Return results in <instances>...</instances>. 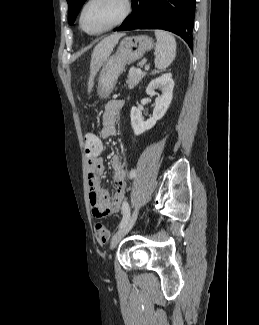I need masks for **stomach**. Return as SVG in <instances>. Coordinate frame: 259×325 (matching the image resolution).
Returning <instances> with one entry per match:
<instances>
[{
  "instance_id": "obj_1",
  "label": "stomach",
  "mask_w": 259,
  "mask_h": 325,
  "mask_svg": "<svg viewBox=\"0 0 259 325\" xmlns=\"http://www.w3.org/2000/svg\"><path fill=\"white\" fill-rule=\"evenodd\" d=\"M154 47V41L146 35L125 37L121 40L116 53L103 64L98 78V93L101 97L110 95L119 75L125 66L143 57Z\"/></svg>"
}]
</instances>
